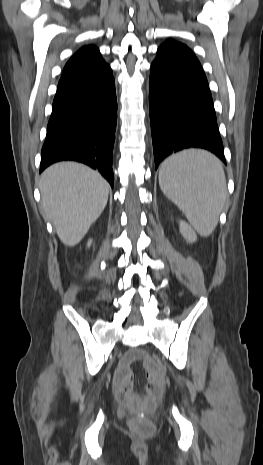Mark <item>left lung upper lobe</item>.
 <instances>
[{
	"label": "left lung upper lobe",
	"mask_w": 263,
	"mask_h": 465,
	"mask_svg": "<svg viewBox=\"0 0 263 465\" xmlns=\"http://www.w3.org/2000/svg\"><path fill=\"white\" fill-rule=\"evenodd\" d=\"M169 42H174V41H172V40H168L166 43H169Z\"/></svg>",
	"instance_id": "5c2ea615"
}]
</instances>
